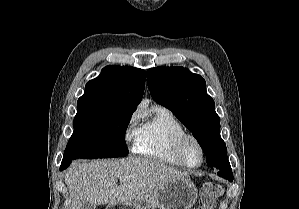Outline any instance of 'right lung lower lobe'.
Returning <instances> with one entry per match:
<instances>
[{
  "label": "right lung lower lobe",
  "instance_id": "right-lung-lower-lobe-1",
  "mask_svg": "<svg viewBox=\"0 0 299 209\" xmlns=\"http://www.w3.org/2000/svg\"><path fill=\"white\" fill-rule=\"evenodd\" d=\"M71 161L72 160H62V165L60 166V170L66 169L70 165Z\"/></svg>",
  "mask_w": 299,
  "mask_h": 209
}]
</instances>
